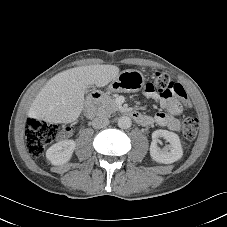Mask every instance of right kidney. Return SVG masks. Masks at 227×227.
<instances>
[{
    "instance_id": "right-kidney-1",
    "label": "right kidney",
    "mask_w": 227,
    "mask_h": 227,
    "mask_svg": "<svg viewBox=\"0 0 227 227\" xmlns=\"http://www.w3.org/2000/svg\"><path fill=\"white\" fill-rule=\"evenodd\" d=\"M75 147L74 140L59 141L47 150L46 157L53 165L64 164L70 160Z\"/></svg>"
}]
</instances>
